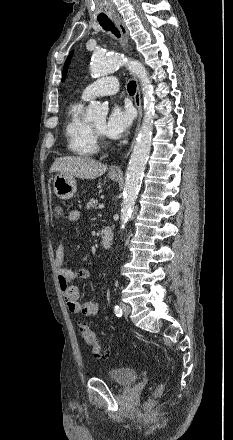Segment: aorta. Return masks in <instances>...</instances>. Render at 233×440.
Listing matches in <instances>:
<instances>
[{"instance_id": "762f6f07", "label": "aorta", "mask_w": 233, "mask_h": 440, "mask_svg": "<svg viewBox=\"0 0 233 440\" xmlns=\"http://www.w3.org/2000/svg\"><path fill=\"white\" fill-rule=\"evenodd\" d=\"M124 65L140 80L143 93L144 118L126 171L120 229L125 228L126 223L131 217L151 149L155 106L153 85L145 67L139 61L128 60L120 55L105 56L96 52L91 63V72L98 76L108 75ZM107 114L108 107L106 105L99 102H91L87 111V118L89 120H97L105 118Z\"/></svg>"}]
</instances>
